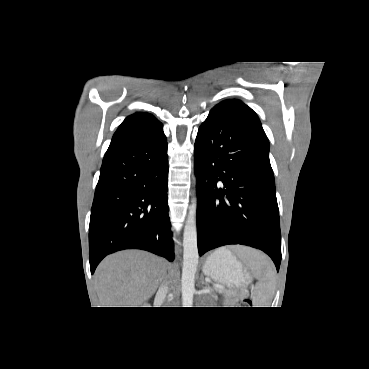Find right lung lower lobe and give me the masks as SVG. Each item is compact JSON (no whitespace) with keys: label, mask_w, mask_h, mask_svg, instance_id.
Listing matches in <instances>:
<instances>
[{"label":"right lung lower lobe","mask_w":369,"mask_h":369,"mask_svg":"<svg viewBox=\"0 0 369 369\" xmlns=\"http://www.w3.org/2000/svg\"><path fill=\"white\" fill-rule=\"evenodd\" d=\"M167 175L162 129L107 150L91 209V274L106 255L123 249L174 259Z\"/></svg>","instance_id":"right-lung-lower-lobe-1"}]
</instances>
